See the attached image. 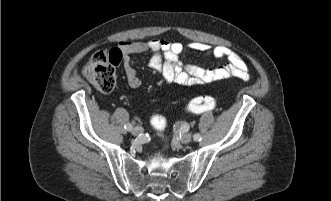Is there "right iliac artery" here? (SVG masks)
<instances>
[{
  "label": "right iliac artery",
  "instance_id": "right-iliac-artery-1",
  "mask_svg": "<svg viewBox=\"0 0 331 201\" xmlns=\"http://www.w3.org/2000/svg\"><path fill=\"white\" fill-rule=\"evenodd\" d=\"M125 129L128 130V131H132V130H133V126H132V124L127 123V124L125 125Z\"/></svg>",
  "mask_w": 331,
  "mask_h": 201
}]
</instances>
